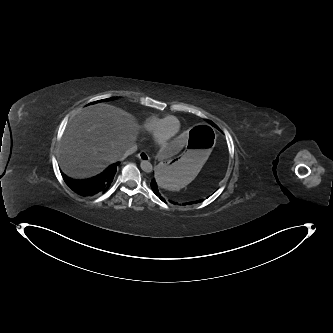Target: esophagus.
Listing matches in <instances>:
<instances>
[{"label":"esophagus","instance_id":"1","mask_svg":"<svg viewBox=\"0 0 333 333\" xmlns=\"http://www.w3.org/2000/svg\"><path fill=\"white\" fill-rule=\"evenodd\" d=\"M137 157L141 160V161H148L149 155L145 150H142L138 153Z\"/></svg>","mask_w":333,"mask_h":333}]
</instances>
